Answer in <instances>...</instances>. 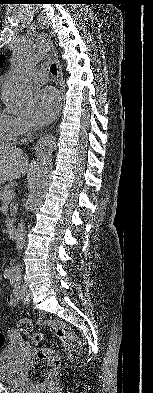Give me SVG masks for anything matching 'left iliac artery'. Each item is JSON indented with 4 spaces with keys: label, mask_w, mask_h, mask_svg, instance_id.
I'll return each instance as SVG.
<instances>
[{
    "label": "left iliac artery",
    "mask_w": 153,
    "mask_h": 393,
    "mask_svg": "<svg viewBox=\"0 0 153 393\" xmlns=\"http://www.w3.org/2000/svg\"><path fill=\"white\" fill-rule=\"evenodd\" d=\"M10 280V283L13 285L14 289L13 292L15 296L20 295L21 289H20V282H21V276L17 274H12L11 276L8 277Z\"/></svg>",
    "instance_id": "left-iliac-artery-1"
}]
</instances>
